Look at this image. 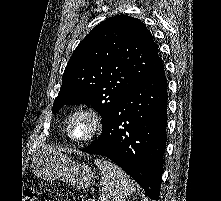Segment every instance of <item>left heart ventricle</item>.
<instances>
[{
  "label": "left heart ventricle",
  "mask_w": 221,
  "mask_h": 201,
  "mask_svg": "<svg viewBox=\"0 0 221 201\" xmlns=\"http://www.w3.org/2000/svg\"><path fill=\"white\" fill-rule=\"evenodd\" d=\"M90 130V122L85 117H77L71 126V131L74 137H83Z\"/></svg>",
  "instance_id": "b2bd125f"
}]
</instances>
